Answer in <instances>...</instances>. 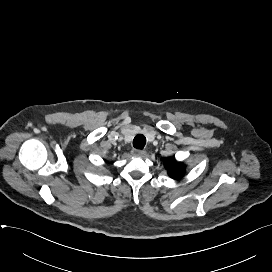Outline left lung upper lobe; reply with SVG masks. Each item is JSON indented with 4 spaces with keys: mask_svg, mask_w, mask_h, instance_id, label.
I'll return each mask as SVG.
<instances>
[{
    "mask_svg": "<svg viewBox=\"0 0 272 272\" xmlns=\"http://www.w3.org/2000/svg\"><path fill=\"white\" fill-rule=\"evenodd\" d=\"M164 165L168 170V175L173 179H179L185 173V165L181 162H176L173 159H167Z\"/></svg>",
    "mask_w": 272,
    "mask_h": 272,
    "instance_id": "5c2ea615",
    "label": "left lung upper lobe"
}]
</instances>
